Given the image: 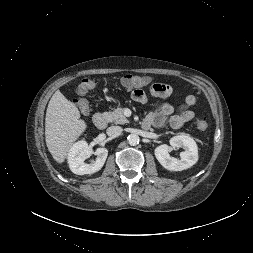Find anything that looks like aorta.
I'll list each match as a JSON object with an SVG mask.
<instances>
[{"mask_svg":"<svg viewBox=\"0 0 253 253\" xmlns=\"http://www.w3.org/2000/svg\"><path fill=\"white\" fill-rule=\"evenodd\" d=\"M127 141L130 145L135 146L139 143L140 138L137 134L133 133V134L128 135Z\"/></svg>","mask_w":253,"mask_h":253,"instance_id":"1","label":"aorta"}]
</instances>
